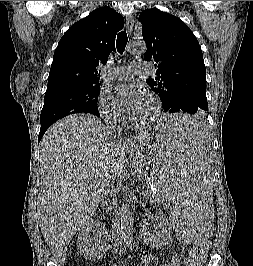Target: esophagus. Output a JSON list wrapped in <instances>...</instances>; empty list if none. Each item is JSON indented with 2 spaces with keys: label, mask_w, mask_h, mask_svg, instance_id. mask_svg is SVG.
<instances>
[{
  "label": "esophagus",
  "mask_w": 253,
  "mask_h": 266,
  "mask_svg": "<svg viewBox=\"0 0 253 266\" xmlns=\"http://www.w3.org/2000/svg\"><path fill=\"white\" fill-rule=\"evenodd\" d=\"M134 26V19L131 15H127L126 17V28L129 34L132 33ZM132 139H127V142L130 143Z\"/></svg>",
  "instance_id": "34e87169"
}]
</instances>
